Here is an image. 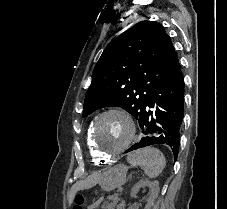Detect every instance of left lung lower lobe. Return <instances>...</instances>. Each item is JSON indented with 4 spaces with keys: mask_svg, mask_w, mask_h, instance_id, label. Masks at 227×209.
Here are the masks:
<instances>
[{
    "mask_svg": "<svg viewBox=\"0 0 227 209\" xmlns=\"http://www.w3.org/2000/svg\"><path fill=\"white\" fill-rule=\"evenodd\" d=\"M183 104L184 79L178 62L138 118L144 137L126 152L154 144H165L170 147L176 160L179 152Z\"/></svg>",
    "mask_w": 227,
    "mask_h": 209,
    "instance_id": "1",
    "label": "left lung lower lobe"
}]
</instances>
